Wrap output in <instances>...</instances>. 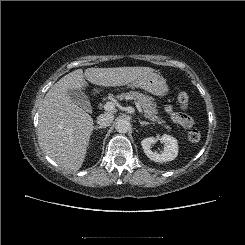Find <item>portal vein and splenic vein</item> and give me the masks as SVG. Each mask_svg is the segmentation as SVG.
<instances>
[{"label": "portal vein and splenic vein", "instance_id": "18ae733b", "mask_svg": "<svg viewBox=\"0 0 245 245\" xmlns=\"http://www.w3.org/2000/svg\"><path fill=\"white\" fill-rule=\"evenodd\" d=\"M135 105H136V108H137V110L139 111V113H140L141 115H143V111H142L141 106H140L138 103H135ZM114 108H115V104H114L113 102H107V103L104 105V110H105V111H112V110H114Z\"/></svg>", "mask_w": 245, "mask_h": 245}]
</instances>
